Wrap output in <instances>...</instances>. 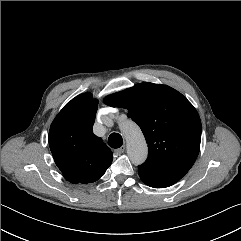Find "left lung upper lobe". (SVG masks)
<instances>
[{
  "label": "left lung upper lobe",
  "mask_w": 241,
  "mask_h": 241,
  "mask_svg": "<svg viewBox=\"0 0 241 241\" xmlns=\"http://www.w3.org/2000/svg\"><path fill=\"white\" fill-rule=\"evenodd\" d=\"M104 102L128 109L127 116L145 136L148 158L138 171L175 184L190 170L200 150L201 120L181 93L145 82L109 95Z\"/></svg>",
  "instance_id": "obj_1"
}]
</instances>
